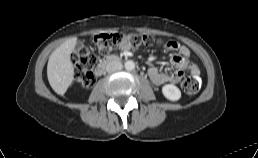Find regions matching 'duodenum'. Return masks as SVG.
<instances>
[{
	"label": "duodenum",
	"mask_w": 258,
	"mask_h": 158,
	"mask_svg": "<svg viewBox=\"0 0 258 158\" xmlns=\"http://www.w3.org/2000/svg\"><path fill=\"white\" fill-rule=\"evenodd\" d=\"M120 61V58L118 56H108L104 58L94 69L95 76H100L104 73L107 66L110 64L116 63Z\"/></svg>",
	"instance_id": "obj_1"
}]
</instances>
